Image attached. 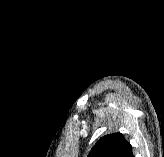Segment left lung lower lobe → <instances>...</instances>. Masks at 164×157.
<instances>
[{
	"label": "left lung lower lobe",
	"instance_id": "obj_1",
	"mask_svg": "<svg viewBox=\"0 0 164 157\" xmlns=\"http://www.w3.org/2000/svg\"><path fill=\"white\" fill-rule=\"evenodd\" d=\"M129 157H134L133 154H132V152H131V155Z\"/></svg>",
	"mask_w": 164,
	"mask_h": 157
}]
</instances>
